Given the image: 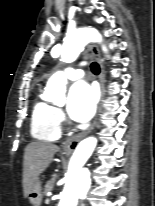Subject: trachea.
Wrapping results in <instances>:
<instances>
[{
    "mask_svg": "<svg viewBox=\"0 0 155 206\" xmlns=\"http://www.w3.org/2000/svg\"><path fill=\"white\" fill-rule=\"evenodd\" d=\"M91 70L94 74H99L100 73V67L96 62H93L91 64Z\"/></svg>",
    "mask_w": 155,
    "mask_h": 206,
    "instance_id": "trachea-1",
    "label": "trachea"
}]
</instances>
